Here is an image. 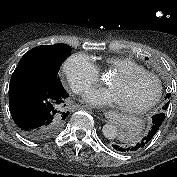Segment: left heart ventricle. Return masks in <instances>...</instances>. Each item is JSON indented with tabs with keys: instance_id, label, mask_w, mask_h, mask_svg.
<instances>
[{
	"instance_id": "b2bd125f",
	"label": "left heart ventricle",
	"mask_w": 177,
	"mask_h": 177,
	"mask_svg": "<svg viewBox=\"0 0 177 177\" xmlns=\"http://www.w3.org/2000/svg\"><path fill=\"white\" fill-rule=\"evenodd\" d=\"M108 86L116 92L120 105L125 106L142 104L155 91V83L147 77L123 79L113 75L108 81Z\"/></svg>"
}]
</instances>
